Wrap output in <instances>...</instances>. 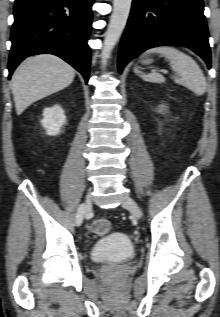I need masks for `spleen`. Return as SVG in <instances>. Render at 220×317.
I'll return each instance as SVG.
<instances>
[{
    "instance_id": "1",
    "label": "spleen",
    "mask_w": 220,
    "mask_h": 317,
    "mask_svg": "<svg viewBox=\"0 0 220 317\" xmlns=\"http://www.w3.org/2000/svg\"><path fill=\"white\" fill-rule=\"evenodd\" d=\"M149 53L161 54L170 62V67L175 73V76L172 77L175 83L187 87L196 95L205 93L207 87L205 76L192 57L169 46L155 47ZM135 73L147 82H165V78L159 73L143 74L137 68H135Z\"/></svg>"
}]
</instances>
